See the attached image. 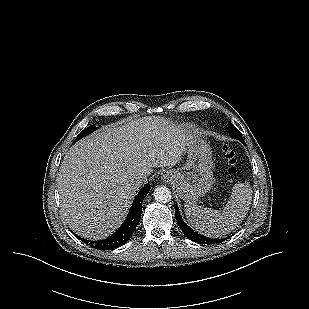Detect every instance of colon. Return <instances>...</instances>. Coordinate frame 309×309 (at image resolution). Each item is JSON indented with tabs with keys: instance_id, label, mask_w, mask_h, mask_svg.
<instances>
[{
	"instance_id": "5ec220e1",
	"label": "colon",
	"mask_w": 309,
	"mask_h": 309,
	"mask_svg": "<svg viewBox=\"0 0 309 309\" xmlns=\"http://www.w3.org/2000/svg\"><path fill=\"white\" fill-rule=\"evenodd\" d=\"M222 150L228 165V172L232 175L236 174L238 168H237V157L235 152L228 145H223Z\"/></svg>"
}]
</instances>
